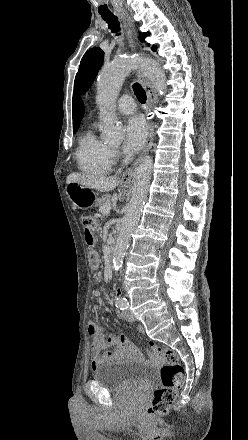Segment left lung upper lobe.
<instances>
[{"label":"left lung upper lobe","mask_w":248,"mask_h":440,"mask_svg":"<svg viewBox=\"0 0 248 440\" xmlns=\"http://www.w3.org/2000/svg\"><path fill=\"white\" fill-rule=\"evenodd\" d=\"M148 34L144 33L143 37H146ZM152 50L156 51V46H153ZM103 57L104 52L98 47L92 48L84 54L75 77V87L79 88L81 92H85L93 83L102 65Z\"/></svg>","instance_id":"5c2ea615"}]
</instances>
